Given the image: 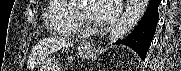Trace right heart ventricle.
I'll use <instances>...</instances> for the list:
<instances>
[{"label": "right heart ventricle", "instance_id": "right-heart-ventricle-1", "mask_svg": "<svg viewBox=\"0 0 181 71\" xmlns=\"http://www.w3.org/2000/svg\"><path fill=\"white\" fill-rule=\"evenodd\" d=\"M44 13L46 27L63 36H75L80 30L75 5L70 1H46Z\"/></svg>", "mask_w": 181, "mask_h": 71}]
</instances>
